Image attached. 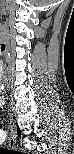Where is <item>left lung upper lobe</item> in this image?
<instances>
[{"instance_id":"1","label":"left lung upper lobe","mask_w":74,"mask_h":154,"mask_svg":"<svg viewBox=\"0 0 74 154\" xmlns=\"http://www.w3.org/2000/svg\"><path fill=\"white\" fill-rule=\"evenodd\" d=\"M18 134L20 135V130H18Z\"/></svg>"}]
</instances>
